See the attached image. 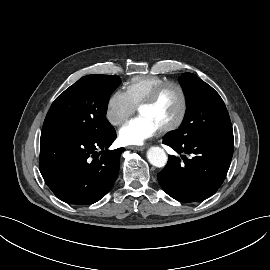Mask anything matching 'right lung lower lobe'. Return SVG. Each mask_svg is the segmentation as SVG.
<instances>
[{"instance_id": "98d812e1", "label": "right lung lower lobe", "mask_w": 270, "mask_h": 270, "mask_svg": "<svg viewBox=\"0 0 270 270\" xmlns=\"http://www.w3.org/2000/svg\"><path fill=\"white\" fill-rule=\"evenodd\" d=\"M115 138L114 128L98 137L41 135L39 167L47 186L69 204L99 201L119 172L124 148L108 150Z\"/></svg>"}]
</instances>
